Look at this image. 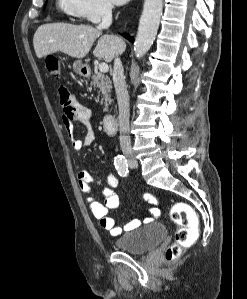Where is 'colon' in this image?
I'll use <instances>...</instances> for the list:
<instances>
[{
  "instance_id": "colon-1",
  "label": "colon",
  "mask_w": 247,
  "mask_h": 299,
  "mask_svg": "<svg viewBox=\"0 0 247 299\" xmlns=\"http://www.w3.org/2000/svg\"><path fill=\"white\" fill-rule=\"evenodd\" d=\"M47 71L50 75L58 77L60 75V62L55 56H48L45 60ZM170 217L173 223L178 226L175 232L173 244L166 251V259L172 261L176 259L182 248L193 243L197 238L199 227L194 210L186 203H175L170 210Z\"/></svg>"
}]
</instances>
